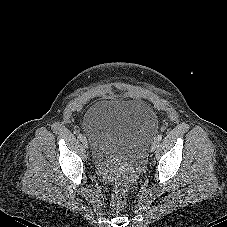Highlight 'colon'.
Here are the masks:
<instances>
[{
  "mask_svg": "<svg viewBox=\"0 0 227 227\" xmlns=\"http://www.w3.org/2000/svg\"><path fill=\"white\" fill-rule=\"evenodd\" d=\"M127 184L125 182H119L116 186V189L113 191L111 195V206L112 208L120 212L126 208L127 205Z\"/></svg>",
  "mask_w": 227,
  "mask_h": 227,
  "instance_id": "1",
  "label": "colon"
}]
</instances>
